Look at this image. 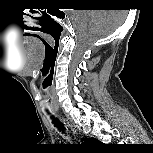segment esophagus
Segmentation results:
<instances>
[{"instance_id": "esophagus-1", "label": "esophagus", "mask_w": 153, "mask_h": 153, "mask_svg": "<svg viewBox=\"0 0 153 153\" xmlns=\"http://www.w3.org/2000/svg\"><path fill=\"white\" fill-rule=\"evenodd\" d=\"M68 126H69V127H71V130H72V131H73V133L75 134V133H76V131L74 130L73 126H72V125H70L69 123H68Z\"/></svg>"}]
</instances>
